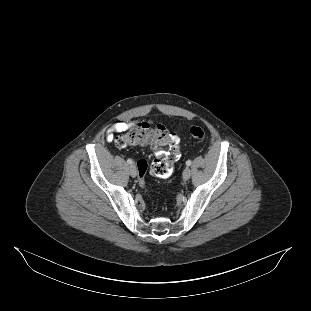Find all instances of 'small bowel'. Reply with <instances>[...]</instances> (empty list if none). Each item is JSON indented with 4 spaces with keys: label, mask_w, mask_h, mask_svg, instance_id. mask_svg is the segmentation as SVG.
I'll list each match as a JSON object with an SVG mask.
<instances>
[{
    "label": "small bowel",
    "mask_w": 311,
    "mask_h": 311,
    "mask_svg": "<svg viewBox=\"0 0 311 311\" xmlns=\"http://www.w3.org/2000/svg\"><path fill=\"white\" fill-rule=\"evenodd\" d=\"M134 124L136 123H133V122H119V123H115L113 124L108 132H107V140L109 142H111L113 140V134L115 132H123V131H126L128 130L129 128H131ZM175 142L176 144H179L180 143V137L178 135H175Z\"/></svg>",
    "instance_id": "1"
}]
</instances>
